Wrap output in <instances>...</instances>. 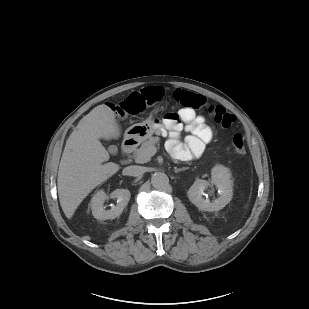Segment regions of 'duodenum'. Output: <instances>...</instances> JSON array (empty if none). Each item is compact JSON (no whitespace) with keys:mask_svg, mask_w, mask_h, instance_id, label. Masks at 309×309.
Masks as SVG:
<instances>
[{"mask_svg":"<svg viewBox=\"0 0 309 309\" xmlns=\"http://www.w3.org/2000/svg\"><path fill=\"white\" fill-rule=\"evenodd\" d=\"M136 140L133 137H127L122 144V152L128 154L132 152L136 147Z\"/></svg>","mask_w":309,"mask_h":309,"instance_id":"1","label":"duodenum"}]
</instances>
